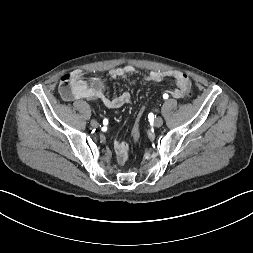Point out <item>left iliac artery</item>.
<instances>
[{"label":"left iliac artery","mask_w":253,"mask_h":253,"mask_svg":"<svg viewBox=\"0 0 253 253\" xmlns=\"http://www.w3.org/2000/svg\"><path fill=\"white\" fill-rule=\"evenodd\" d=\"M163 97H164L165 99H167V98H168V95L166 96V94H164Z\"/></svg>","instance_id":"obj_1"}]
</instances>
